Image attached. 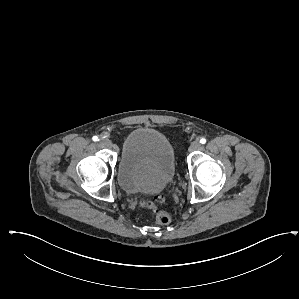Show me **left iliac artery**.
<instances>
[{"label": "left iliac artery", "mask_w": 299, "mask_h": 299, "mask_svg": "<svg viewBox=\"0 0 299 299\" xmlns=\"http://www.w3.org/2000/svg\"><path fill=\"white\" fill-rule=\"evenodd\" d=\"M200 143H201V144H205V143H206V139H205V138H201V139H200Z\"/></svg>", "instance_id": "1"}]
</instances>
